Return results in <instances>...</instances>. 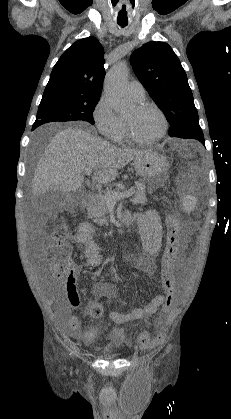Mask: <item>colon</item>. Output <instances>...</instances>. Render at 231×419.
Returning <instances> with one entry per match:
<instances>
[{
  "instance_id": "obj_1",
  "label": "colon",
  "mask_w": 231,
  "mask_h": 419,
  "mask_svg": "<svg viewBox=\"0 0 231 419\" xmlns=\"http://www.w3.org/2000/svg\"><path fill=\"white\" fill-rule=\"evenodd\" d=\"M167 245L164 246V253L161 257L162 271L160 281L162 284L165 303L164 310L167 311L170 304L174 302V296L179 292V283L175 274L172 273L174 262L179 256V231L178 216L172 212L167 216ZM68 228L66 224L57 225L52 232V241L45 249V259L56 277H62L68 287L75 285L74 266L69 260L70 245L67 242ZM104 313V308L100 303H96L91 308V314L94 317H100ZM113 338L116 341H125L127 339L122 329L116 328L113 331ZM139 341L142 345L149 344L147 333L139 334ZM163 340V334H158L154 341L160 343Z\"/></svg>"
}]
</instances>
